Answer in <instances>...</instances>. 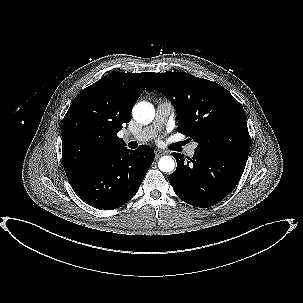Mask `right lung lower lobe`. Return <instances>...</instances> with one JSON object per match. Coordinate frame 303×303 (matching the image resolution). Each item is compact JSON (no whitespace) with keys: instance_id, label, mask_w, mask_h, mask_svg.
Masks as SVG:
<instances>
[{"instance_id":"98d812e1","label":"right lung lower lobe","mask_w":303,"mask_h":303,"mask_svg":"<svg viewBox=\"0 0 303 303\" xmlns=\"http://www.w3.org/2000/svg\"><path fill=\"white\" fill-rule=\"evenodd\" d=\"M154 160V151L141 145L121 149L68 177L78 196L99 209H116L138 191Z\"/></svg>"}]
</instances>
